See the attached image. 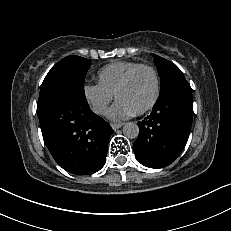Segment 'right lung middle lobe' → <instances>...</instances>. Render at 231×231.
I'll use <instances>...</instances> for the list:
<instances>
[{"mask_svg": "<svg viewBox=\"0 0 231 231\" xmlns=\"http://www.w3.org/2000/svg\"><path fill=\"white\" fill-rule=\"evenodd\" d=\"M91 61L79 56H68L59 61L46 75L38 104L58 93H74L85 98L84 79Z\"/></svg>", "mask_w": 231, "mask_h": 231, "instance_id": "1", "label": "right lung middle lobe"}]
</instances>
